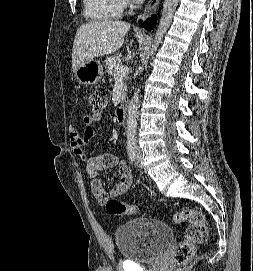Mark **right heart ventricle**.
<instances>
[{"mask_svg":"<svg viewBox=\"0 0 253 271\" xmlns=\"http://www.w3.org/2000/svg\"><path fill=\"white\" fill-rule=\"evenodd\" d=\"M85 15L93 21H108L120 17L124 8L120 0H83Z\"/></svg>","mask_w":253,"mask_h":271,"instance_id":"obj_1","label":"right heart ventricle"}]
</instances>
